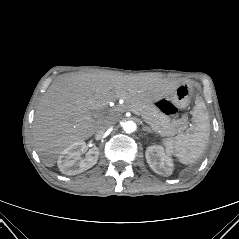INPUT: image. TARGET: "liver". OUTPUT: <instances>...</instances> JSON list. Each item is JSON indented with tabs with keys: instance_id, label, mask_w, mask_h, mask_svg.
I'll return each instance as SVG.
<instances>
[{
	"instance_id": "1",
	"label": "liver",
	"mask_w": 239,
	"mask_h": 239,
	"mask_svg": "<svg viewBox=\"0 0 239 239\" xmlns=\"http://www.w3.org/2000/svg\"><path fill=\"white\" fill-rule=\"evenodd\" d=\"M175 84L144 77L114 74L71 73L60 76L41 99L33 123L36 151L47 167L70 145L90 138L103 121L91 111L101 110L116 99L126 104L150 103L165 96Z\"/></svg>"
}]
</instances>
